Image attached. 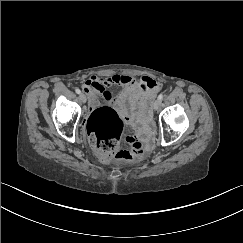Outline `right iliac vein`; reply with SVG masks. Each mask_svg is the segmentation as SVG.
<instances>
[{
    "instance_id": "right-iliac-vein-1",
    "label": "right iliac vein",
    "mask_w": 243,
    "mask_h": 243,
    "mask_svg": "<svg viewBox=\"0 0 243 243\" xmlns=\"http://www.w3.org/2000/svg\"><path fill=\"white\" fill-rule=\"evenodd\" d=\"M80 100L82 103L86 102V96L83 93L80 94Z\"/></svg>"
}]
</instances>
